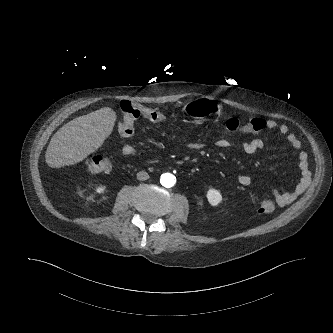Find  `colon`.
<instances>
[{
  "mask_svg": "<svg viewBox=\"0 0 333 333\" xmlns=\"http://www.w3.org/2000/svg\"><path fill=\"white\" fill-rule=\"evenodd\" d=\"M123 118L119 123L118 130L122 137H130L135 131V122L143 116L151 122L160 123L167 120V117L159 109L144 107L138 104H132L129 101H123L121 105ZM267 122L261 118H250L240 120L230 117L226 120L225 126L229 131L243 133H258L263 130ZM112 163L109 158L104 156H94L87 163V170L90 173H107L111 170ZM276 210V205L272 200H262L258 206V211L262 214H272Z\"/></svg>",
  "mask_w": 333,
  "mask_h": 333,
  "instance_id": "1",
  "label": "colon"
}]
</instances>
